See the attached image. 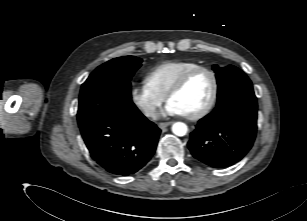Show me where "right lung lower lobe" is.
I'll return each instance as SVG.
<instances>
[{
    "mask_svg": "<svg viewBox=\"0 0 307 221\" xmlns=\"http://www.w3.org/2000/svg\"><path fill=\"white\" fill-rule=\"evenodd\" d=\"M80 130L93 160L119 176L134 174L148 163L161 132L136 107L93 117Z\"/></svg>",
    "mask_w": 307,
    "mask_h": 221,
    "instance_id": "98d812e1",
    "label": "right lung lower lobe"
}]
</instances>
